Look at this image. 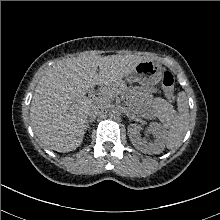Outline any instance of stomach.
<instances>
[{
  "label": "stomach",
  "instance_id": "0dacf381",
  "mask_svg": "<svg viewBox=\"0 0 220 220\" xmlns=\"http://www.w3.org/2000/svg\"><path fill=\"white\" fill-rule=\"evenodd\" d=\"M163 75V67L154 61L144 60L126 75L128 82H138L139 84L154 85L160 82Z\"/></svg>",
  "mask_w": 220,
  "mask_h": 220
}]
</instances>
